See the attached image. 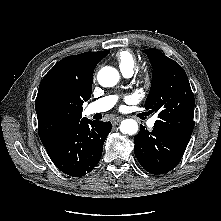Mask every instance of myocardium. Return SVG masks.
<instances>
[{
  "label": "myocardium",
  "instance_id": "obj_1",
  "mask_svg": "<svg viewBox=\"0 0 221 221\" xmlns=\"http://www.w3.org/2000/svg\"><path fill=\"white\" fill-rule=\"evenodd\" d=\"M143 78H144L145 82L149 81V76L147 73H143Z\"/></svg>",
  "mask_w": 221,
  "mask_h": 221
}]
</instances>
